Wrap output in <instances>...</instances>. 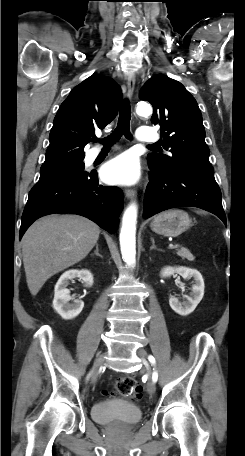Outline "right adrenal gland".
Returning a JSON list of instances; mask_svg holds the SVG:
<instances>
[{"label":"right adrenal gland","mask_w":245,"mask_h":456,"mask_svg":"<svg viewBox=\"0 0 245 456\" xmlns=\"http://www.w3.org/2000/svg\"><path fill=\"white\" fill-rule=\"evenodd\" d=\"M91 255H92V256H93V255H96V256H99V257L102 258V255L99 253V245H98V243H96V249H95L94 253L91 254Z\"/></svg>","instance_id":"obj_1"}]
</instances>
